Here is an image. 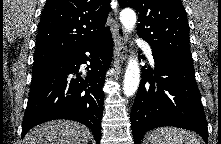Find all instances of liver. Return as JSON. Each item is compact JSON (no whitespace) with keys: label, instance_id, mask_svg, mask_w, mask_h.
Wrapping results in <instances>:
<instances>
[{"label":"liver","instance_id":"6515ba94","mask_svg":"<svg viewBox=\"0 0 221 144\" xmlns=\"http://www.w3.org/2000/svg\"><path fill=\"white\" fill-rule=\"evenodd\" d=\"M89 130L82 124L54 120L30 130L24 144H88Z\"/></svg>","mask_w":221,"mask_h":144}]
</instances>
